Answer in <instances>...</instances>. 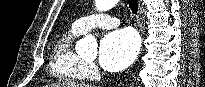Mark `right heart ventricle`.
Wrapping results in <instances>:
<instances>
[{"label": "right heart ventricle", "mask_w": 205, "mask_h": 87, "mask_svg": "<svg viewBox=\"0 0 205 87\" xmlns=\"http://www.w3.org/2000/svg\"><path fill=\"white\" fill-rule=\"evenodd\" d=\"M83 33L71 27L61 35L54 45L50 62V71L55 79L61 82L74 83L84 81L85 61L73 47L74 39Z\"/></svg>", "instance_id": "e07e8e85"}]
</instances>
